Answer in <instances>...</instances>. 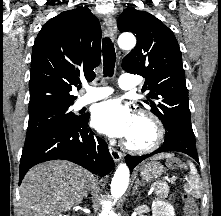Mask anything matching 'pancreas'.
<instances>
[{"mask_svg":"<svg viewBox=\"0 0 221 216\" xmlns=\"http://www.w3.org/2000/svg\"><path fill=\"white\" fill-rule=\"evenodd\" d=\"M169 187L166 183H160L155 187V193L160 198H165L168 195Z\"/></svg>","mask_w":221,"mask_h":216,"instance_id":"1","label":"pancreas"}]
</instances>
